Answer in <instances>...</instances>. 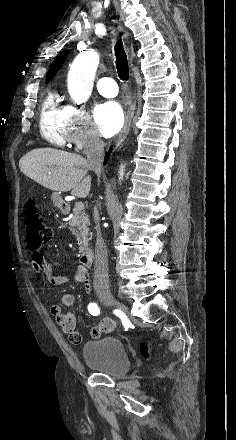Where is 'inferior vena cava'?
I'll return each mask as SVG.
<instances>
[{"instance_id":"obj_1","label":"inferior vena cava","mask_w":236,"mask_h":440,"mask_svg":"<svg viewBox=\"0 0 236 440\" xmlns=\"http://www.w3.org/2000/svg\"><path fill=\"white\" fill-rule=\"evenodd\" d=\"M85 154L91 170H93L99 177L102 171V163L104 158V142L98 135L89 137ZM97 208H94V213H97ZM96 246H95V263H94V278L93 285L95 289L109 288L108 276V258L106 244L101 235L100 223L96 219Z\"/></svg>"}]
</instances>
